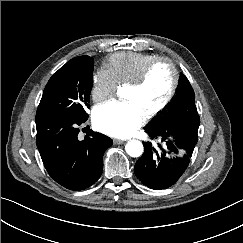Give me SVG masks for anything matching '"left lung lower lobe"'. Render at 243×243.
<instances>
[{
	"label": "left lung lower lobe",
	"instance_id": "left-lung-lower-lobe-1",
	"mask_svg": "<svg viewBox=\"0 0 243 243\" xmlns=\"http://www.w3.org/2000/svg\"><path fill=\"white\" fill-rule=\"evenodd\" d=\"M170 121L165 129L145 128L151 139L161 138L159 148L144 142V153L135 164L136 177L152 189H165L177 182L188 167L197 143L198 125Z\"/></svg>",
	"mask_w": 243,
	"mask_h": 243
}]
</instances>
